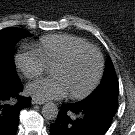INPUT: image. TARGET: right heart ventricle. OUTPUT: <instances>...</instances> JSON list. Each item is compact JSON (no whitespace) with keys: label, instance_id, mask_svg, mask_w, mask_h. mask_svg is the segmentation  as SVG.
<instances>
[{"label":"right heart ventricle","instance_id":"obj_1","mask_svg":"<svg viewBox=\"0 0 135 135\" xmlns=\"http://www.w3.org/2000/svg\"><path fill=\"white\" fill-rule=\"evenodd\" d=\"M84 46H90V44L80 37L69 34H50L40 39L35 50L40 54L45 65L52 67L74 48Z\"/></svg>","mask_w":135,"mask_h":135}]
</instances>
